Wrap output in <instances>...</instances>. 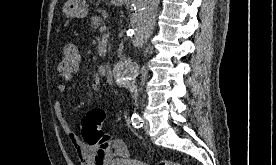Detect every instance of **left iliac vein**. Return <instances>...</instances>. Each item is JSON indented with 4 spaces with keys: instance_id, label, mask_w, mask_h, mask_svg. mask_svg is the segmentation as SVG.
Wrapping results in <instances>:
<instances>
[{
    "instance_id": "obj_1",
    "label": "left iliac vein",
    "mask_w": 276,
    "mask_h": 165,
    "mask_svg": "<svg viewBox=\"0 0 276 165\" xmlns=\"http://www.w3.org/2000/svg\"><path fill=\"white\" fill-rule=\"evenodd\" d=\"M143 129H144L145 131H148V130H149V122H148L147 120H144Z\"/></svg>"
}]
</instances>
